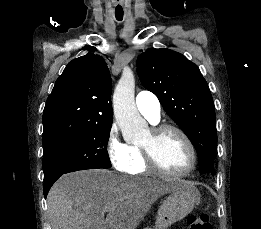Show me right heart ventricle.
I'll list each match as a JSON object with an SVG mask.
<instances>
[{"mask_svg": "<svg viewBox=\"0 0 261 229\" xmlns=\"http://www.w3.org/2000/svg\"><path fill=\"white\" fill-rule=\"evenodd\" d=\"M133 154V164L129 170L131 174H146L149 172V166L146 162L144 152L140 145L130 144Z\"/></svg>", "mask_w": 261, "mask_h": 229, "instance_id": "1", "label": "right heart ventricle"}]
</instances>
